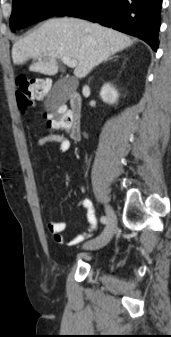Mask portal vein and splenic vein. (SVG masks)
Returning a JSON list of instances; mask_svg holds the SVG:
<instances>
[{
	"label": "portal vein and splenic vein",
	"instance_id": "portal-vein-and-splenic-vein-1",
	"mask_svg": "<svg viewBox=\"0 0 171 337\" xmlns=\"http://www.w3.org/2000/svg\"><path fill=\"white\" fill-rule=\"evenodd\" d=\"M62 62L70 68H75L77 66V61L70 57H62Z\"/></svg>",
	"mask_w": 171,
	"mask_h": 337
}]
</instances>
